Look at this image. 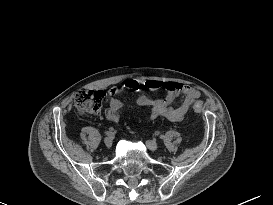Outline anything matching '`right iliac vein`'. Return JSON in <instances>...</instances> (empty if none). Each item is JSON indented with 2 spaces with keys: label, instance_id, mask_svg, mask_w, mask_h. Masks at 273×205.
Returning <instances> with one entry per match:
<instances>
[{
  "label": "right iliac vein",
  "instance_id": "1",
  "mask_svg": "<svg viewBox=\"0 0 273 205\" xmlns=\"http://www.w3.org/2000/svg\"><path fill=\"white\" fill-rule=\"evenodd\" d=\"M104 143H105V145L109 148V147H111L112 146V143H113V138L112 137H106L105 139H104Z\"/></svg>",
  "mask_w": 273,
  "mask_h": 205
}]
</instances>
